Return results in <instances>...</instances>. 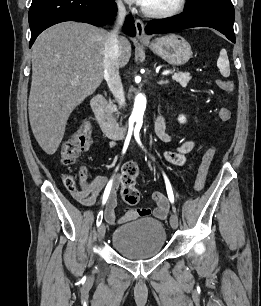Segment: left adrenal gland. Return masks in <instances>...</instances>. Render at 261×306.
<instances>
[{"label": "left adrenal gland", "mask_w": 261, "mask_h": 306, "mask_svg": "<svg viewBox=\"0 0 261 306\" xmlns=\"http://www.w3.org/2000/svg\"><path fill=\"white\" fill-rule=\"evenodd\" d=\"M167 83H168L167 80H161V81L158 82V84H160V85H164V84H167Z\"/></svg>", "instance_id": "1"}]
</instances>
